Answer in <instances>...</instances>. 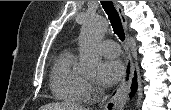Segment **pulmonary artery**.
<instances>
[{
	"label": "pulmonary artery",
	"mask_w": 171,
	"mask_h": 110,
	"mask_svg": "<svg viewBox=\"0 0 171 110\" xmlns=\"http://www.w3.org/2000/svg\"><path fill=\"white\" fill-rule=\"evenodd\" d=\"M101 51L104 56L113 58L119 55L120 47L113 40H105L101 43Z\"/></svg>",
	"instance_id": "e3ab8cb5"
}]
</instances>
